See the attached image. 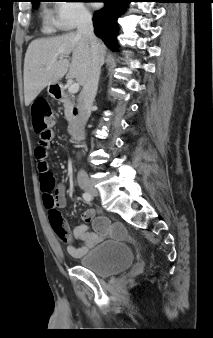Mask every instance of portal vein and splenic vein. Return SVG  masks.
<instances>
[{"label":"portal vein and splenic vein","instance_id":"obj_1","mask_svg":"<svg viewBox=\"0 0 213 338\" xmlns=\"http://www.w3.org/2000/svg\"><path fill=\"white\" fill-rule=\"evenodd\" d=\"M68 90L70 93H77L79 91V84L78 83L71 84Z\"/></svg>","mask_w":213,"mask_h":338}]
</instances>
